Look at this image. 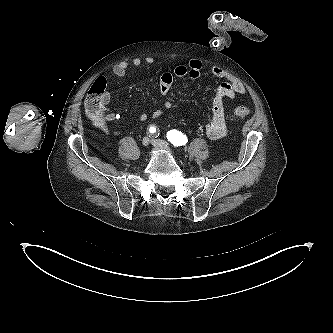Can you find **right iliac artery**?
I'll return each instance as SVG.
<instances>
[{
    "instance_id": "1",
    "label": "right iliac artery",
    "mask_w": 333,
    "mask_h": 333,
    "mask_svg": "<svg viewBox=\"0 0 333 333\" xmlns=\"http://www.w3.org/2000/svg\"><path fill=\"white\" fill-rule=\"evenodd\" d=\"M149 132H150L151 134L156 133V127H155V126H151V127L149 128Z\"/></svg>"
}]
</instances>
